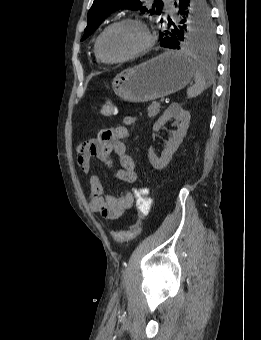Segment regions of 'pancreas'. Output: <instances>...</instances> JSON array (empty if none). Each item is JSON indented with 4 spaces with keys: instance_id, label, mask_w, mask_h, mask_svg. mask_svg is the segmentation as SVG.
Returning a JSON list of instances; mask_svg holds the SVG:
<instances>
[{
    "instance_id": "1",
    "label": "pancreas",
    "mask_w": 261,
    "mask_h": 340,
    "mask_svg": "<svg viewBox=\"0 0 261 340\" xmlns=\"http://www.w3.org/2000/svg\"><path fill=\"white\" fill-rule=\"evenodd\" d=\"M148 111V117L154 118L160 111V103L159 102H152L151 105L147 108Z\"/></svg>"
}]
</instances>
